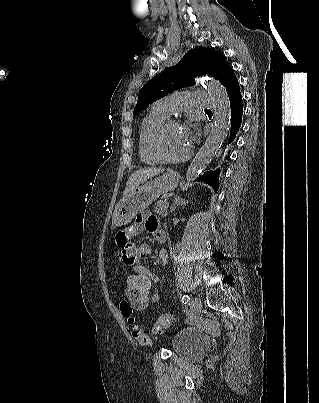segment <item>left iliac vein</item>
<instances>
[{
  "label": "left iliac vein",
  "instance_id": "4c4485c4",
  "mask_svg": "<svg viewBox=\"0 0 319 403\" xmlns=\"http://www.w3.org/2000/svg\"><path fill=\"white\" fill-rule=\"evenodd\" d=\"M190 305L192 306L193 312L196 315H199L201 312L202 308V301L199 297H194L192 301L190 302Z\"/></svg>",
  "mask_w": 319,
  "mask_h": 403
}]
</instances>
